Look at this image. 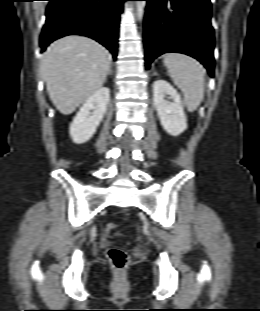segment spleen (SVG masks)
<instances>
[{
	"mask_svg": "<svg viewBox=\"0 0 260 311\" xmlns=\"http://www.w3.org/2000/svg\"><path fill=\"white\" fill-rule=\"evenodd\" d=\"M164 64L174 84L184 94V105L195 111L204 97L205 79L202 65L194 58L180 53H168Z\"/></svg>",
	"mask_w": 260,
	"mask_h": 311,
	"instance_id": "obj_1",
	"label": "spleen"
}]
</instances>
